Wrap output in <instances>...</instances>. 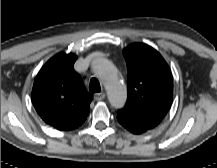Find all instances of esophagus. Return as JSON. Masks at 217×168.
Here are the masks:
<instances>
[{
	"mask_svg": "<svg viewBox=\"0 0 217 168\" xmlns=\"http://www.w3.org/2000/svg\"><path fill=\"white\" fill-rule=\"evenodd\" d=\"M104 98H105V93H104V92L96 93V94L94 95V99H95L96 101H101V100H103Z\"/></svg>",
	"mask_w": 217,
	"mask_h": 168,
	"instance_id": "obj_1",
	"label": "esophagus"
}]
</instances>
